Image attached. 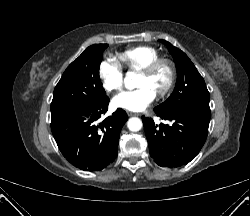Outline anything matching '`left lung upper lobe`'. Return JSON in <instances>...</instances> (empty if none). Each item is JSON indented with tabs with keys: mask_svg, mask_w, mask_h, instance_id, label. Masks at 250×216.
Listing matches in <instances>:
<instances>
[{
	"mask_svg": "<svg viewBox=\"0 0 250 216\" xmlns=\"http://www.w3.org/2000/svg\"><path fill=\"white\" fill-rule=\"evenodd\" d=\"M160 41L167 46L175 61L177 82L171 96L157 108L166 113L196 110L211 116L210 94L203 77L183 51L165 40Z\"/></svg>",
	"mask_w": 250,
	"mask_h": 216,
	"instance_id": "left-lung-upper-lobe-1",
	"label": "left lung upper lobe"
}]
</instances>
